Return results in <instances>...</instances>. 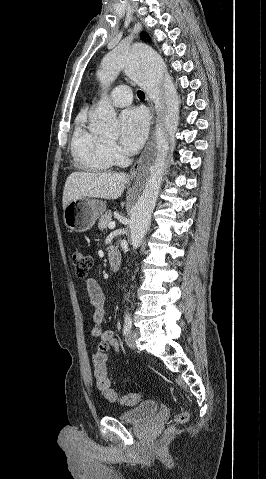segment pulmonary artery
I'll return each instance as SVG.
<instances>
[{
    "mask_svg": "<svg viewBox=\"0 0 266 479\" xmlns=\"http://www.w3.org/2000/svg\"><path fill=\"white\" fill-rule=\"evenodd\" d=\"M110 101L116 107L128 106L132 101L131 88L126 85L115 87L111 92Z\"/></svg>",
    "mask_w": 266,
    "mask_h": 479,
    "instance_id": "obj_1",
    "label": "pulmonary artery"
}]
</instances>
